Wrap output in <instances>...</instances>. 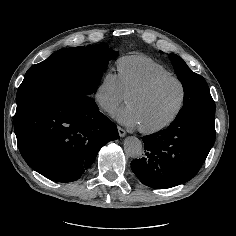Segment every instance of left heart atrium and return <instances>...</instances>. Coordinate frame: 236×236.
Here are the masks:
<instances>
[{"instance_id":"obj_1","label":"left heart atrium","mask_w":236,"mask_h":236,"mask_svg":"<svg viewBox=\"0 0 236 236\" xmlns=\"http://www.w3.org/2000/svg\"><path fill=\"white\" fill-rule=\"evenodd\" d=\"M113 117L115 120H117L119 123L134 127L138 125V119L135 110L130 107H124L122 109H119L113 113Z\"/></svg>"}]
</instances>
